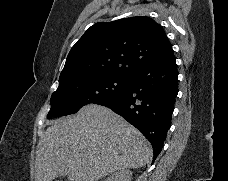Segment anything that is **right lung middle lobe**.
Listing matches in <instances>:
<instances>
[{"label": "right lung middle lobe", "instance_id": "1", "mask_svg": "<svg viewBox=\"0 0 228 181\" xmlns=\"http://www.w3.org/2000/svg\"><path fill=\"white\" fill-rule=\"evenodd\" d=\"M129 79L109 74L61 85L51 96L47 118L74 114L89 103L112 102L123 94Z\"/></svg>", "mask_w": 228, "mask_h": 181}]
</instances>
